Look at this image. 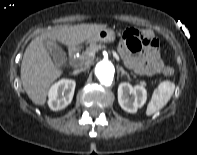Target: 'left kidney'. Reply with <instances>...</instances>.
Listing matches in <instances>:
<instances>
[{
	"label": "left kidney",
	"instance_id": "obj_1",
	"mask_svg": "<svg viewBox=\"0 0 197 155\" xmlns=\"http://www.w3.org/2000/svg\"><path fill=\"white\" fill-rule=\"evenodd\" d=\"M147 100V91L141 85L132 86L122 82L118 86V102L122 109L129 113H136Z\"/></svg>",
	"mask_w": 197,
	"mask_h": 155
}]
</instances>
